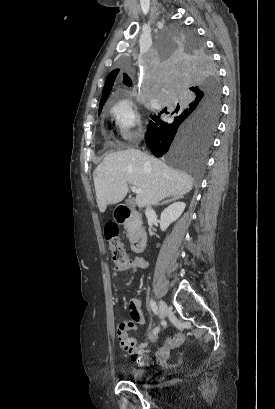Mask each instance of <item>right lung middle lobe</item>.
<instances>
[{"mask_svg":"<svg viewBox=\"0 0 275 409\" xmlns=\"http://www.w3.org/2000/svg\"><path fill=\"white\" fill-rule=\"evenodd\" d=\"M155 51H171L163 59L165 70H157L149 91H192L186 96H145L143 102L160 110L152 117L145 135L153 155L167 167L191 173L195 181L202 176L204 161L211 150L220 114V82L204 42L191 32L190 24H171L152 39ZM118 73H127L132 63L123 57ZM102 110V109H101ZM99 110V113L101 112ZM198 188L199 184H193Z\"/></svg>","mask_w":275,"mask_h":409,"instance_id":"1","label":"right lung middle lobe"}]
</instances>
